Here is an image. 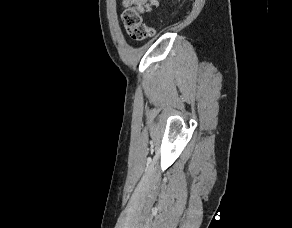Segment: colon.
<instances>
[{
    "label": "colon",
    "mask_w": 292,
    "mask_h": 228,
    "mask_svg": "<svg viewBox=\"0 0 292 228\" xmlns=\"http://www.w3.org/2000/svg\"><path fill=\"white\" fill-rule=\"evenodd\" d=\"M157 4L158 0H145L144 3L129 7L123 12L124 27L133 40L142 41L154 35V29L143 23L142 16L150 13Z\"/></svg>",
    "instance_id": "1"
}]
</instances>
